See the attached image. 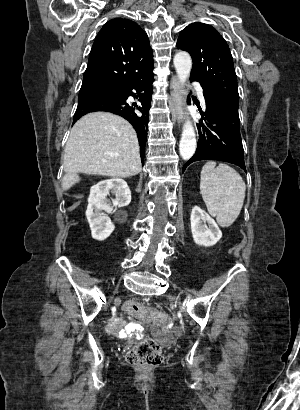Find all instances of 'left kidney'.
Instances as JSON below:
<instances>
[{"label":"left kidney","mask_w":300,"mask_h":410,"mask_svg":"<svg viewBox=\"0 0 300 410\" xmlns=\"http://www.w3.org/2000/svg\"><path fill=\"white\" fill-rule=\"evenodd\" d=\"M191 232L197 245L210 247L215 245L222 237V232L209 214L200 207L195 206L191 212Z\"/></svg>","instance_id":"obj_1"}]
</instances>
